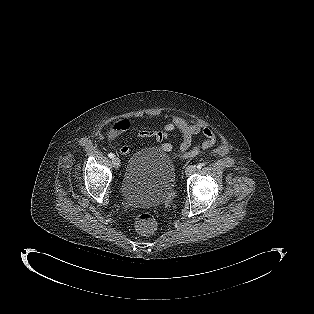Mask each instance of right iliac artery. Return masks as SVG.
Masks as SVG:
<instances>
[{
	"mask_svg": "<svg viewBox=\"0 0 314 314\" xmlns=\"http://www.w3.org/2000/svg\"><path fill=\"white\" fill-rule=\"evenodd\" d=\"M108 157H109V158H114V154H113V153H109V154H108Z\"/></svg>",
	"mask_w": 314,
	"mask_h": 314,
	"instance_id": "82829eb1",
	"label": "right iliac artery"
}]
</instances>
